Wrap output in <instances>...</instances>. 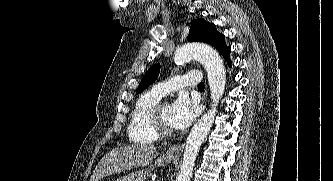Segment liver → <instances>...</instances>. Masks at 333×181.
Instances as JSON below:
<instances>
[{
    "label": "liver",
    "mask_w": 333,
    "mask_h": 181,
    "mask_svg": "<svg viewBox=\"0 0 333 181\" xmlns=\"http://www.w3.org/2000/svg\"><path fill=\"white\" fill-rule=\"evenodd\" d=\"M157 149L156 146L147 145L115 148L99 161L90 181H99L112 174H120L133 168L147 166L152 163Z\"/></svg>",
    "instance_id": "obj_1"
}]
</instances>
